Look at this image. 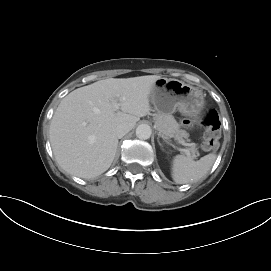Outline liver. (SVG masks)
Wrapping results in <instances>:
<instances>
[{
    "label": "liver",
    "mask_w": 271,
    "mask_h": 271,
    "mask_svg": "<svg viewBox=\"0 0 271 271\" xmlns=\"http://www.w3.org/2000/svg\"><path fill=\"white\" fill-rule=\"evenodd\" d=\"M160 78H109L75 89L64 97L49 129L59 166L81 178H93L108 170L118 145L117 126L127 123L133 128L149 114L151 88Z\"/></svg>",
    "instance_id": "liver-1"
}]
</instances>
